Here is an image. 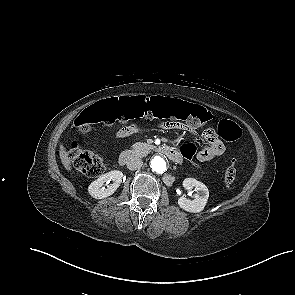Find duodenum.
<instances>
[{
  "label": "duodenum",
  "mask_w": 295,
  "mask_h": 295,
  "mask_svg": "<svg viewBox=\"0 0 295 295\" xmlns=\"http://www.w3.org/2000/svg\"><path fill=\"white\" fill-rule=\"evenodd\" d=\"M158 150L167 156L171 161L175 163H181L182 157L181 154L174 148L169 146H160ZM136 156V153L132 150H125L119 155V164L126 165L130 161H132Z\"/></svg>",
  "instance_id": "obj_1"
}]
</instances>
